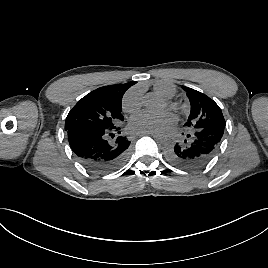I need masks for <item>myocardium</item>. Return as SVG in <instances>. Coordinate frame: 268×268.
<instances>
[{
  "label": "myocardium",
  "mask_w": 268,
  "mask_h": 268,
  "mask_svg": "<svg viewBox=\"0 0 268 268\" xmlns=\"http://www.w3.org/2000/svg\"><path fill=\"white\" fill-rule=\"evenodd\" d=\"M166 104H167V107L176 111V112H179L182 110V106L179 102L175 101V100H167L166 101Z\"/></svg>",
  "instance_id": "1"
}]
</instances>
